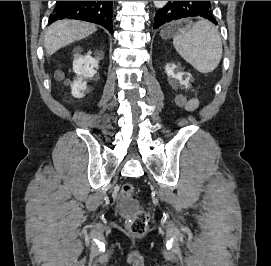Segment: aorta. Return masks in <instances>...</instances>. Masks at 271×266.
Listing matches in <instances>:
<instances>
[{
  "label": "aorta",
  "instance_id": "obj_1",
  "mask_svg": "<svg viewBox=\"0 0 271 266\" xmlns=\"http://www.w3.org/2000/svg\"><path fill=\"white\" fill-rule=\"evenodd\" d=\"M156 8H163L168 1H153Z\"/></svg>",
  "mask_w": 271,
  "mask_h": 266
}]
</instances>
